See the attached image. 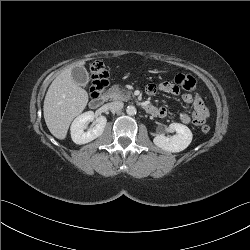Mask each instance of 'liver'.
<instances>
[{
    "mask_svg": "<svg viewBox=\"0 0 250 250\" xmlns=\"http://www.w3.org/2000/svg\"><path fill=\"white\" fill-rule=\"evenodd\" d=\"M85 62L73 64L63 70L51 83L44 99V119L53 136L66 138L72 120L88 103V93L72 77V69Z\"/></svg>",
    "mask_w": 250,
    "mask_h": 250,
    "instance_id": "liver-1",
    "label": "liver"
}]
</instances>
